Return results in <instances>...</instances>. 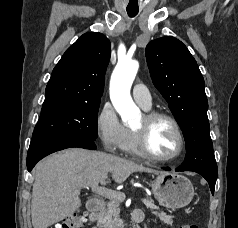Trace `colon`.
Masks as SVG:
<instances>
[{
    "mask_svg": "<svg viewBox=\"0 0 238 228\" xmlns=\"http://www.w3.org/2000/svg\"><path fill=\"white\" fill-rule=\"evenodd\" d=\"M87 215L83 212H75L61 222L48 228H82L87 221ZM180 228H199L192 224H183Z\"/></svg>",
    "mask_w": 238,
    "mask_h": 228,
    "instance_id": "obj_1",
    "label": "colon"
}]
</instances>
